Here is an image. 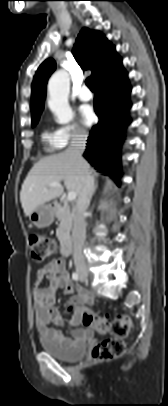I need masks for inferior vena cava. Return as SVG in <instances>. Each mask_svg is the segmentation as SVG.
I'll use <instances>...</instances> for the list:
<instances>
[{
	"label": "inferior vena cava",
	"mask_w": 168,
	"mask_h": 406,
	"mask_svg": "<svg viewBox=\"0 0 168 406\" xmlns=\"http://www.w3.org/2000/svg\"><path fill=\"white\" fill-rule=\"evenodd\" d=\"M87 135L78 133L73 136L67 151L70 152L81 167V191L78 195L74 219H73V259L76 268H85V261L82 253L86 238L85 213L90 204L95 190L94 177L87 166L82 154L85 150Z\"/></svg>",
	"instance_id": "inferior-vena-cava-1"
}]
</instances>
